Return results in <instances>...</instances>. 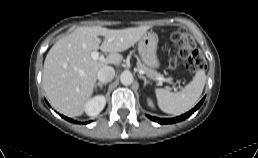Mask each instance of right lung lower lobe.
<instances>
[{
	"instance_id": "obj_1",
	"label": "right lung lower lobe",
	"mask_w": 258,
	"mask_h": 158,
	"mask_svg": "<svg viewBox=\"0 0 258 158\" xmlns=\"http://www.w3.org/2000/svg\"><path fill=\"white\" fill-rule=\"evenodd\" d=\"M64 119H66V120H68V121H72V122H75V121H73L72 119H70V118H67V117H65V116H62ZM87 122H85V124H86Z\"/></svg>"
}]
</instances>
